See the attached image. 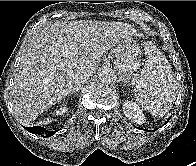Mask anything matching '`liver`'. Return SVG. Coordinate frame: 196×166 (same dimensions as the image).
Wrapping results in <instances>:
<instances>
[{
  "mask_svg": "<svg viewBox=\"0 0 196 166\" xmlns=\"http://www.w3.org/2000/svg\"><path fill=\"white\" fill-rule=\"evenodd\" d=\"M139 36L128 23L56 21L30 41L14 76L12 104L17 119L29 125L65 98L76 72L93 75L98 60L121 40Z\"/></svg>",
  "mask_w": 196,
  "mask_h": 166,
  "instance_id": "liver-1",
  "label": "liver"
}]
</instances>
